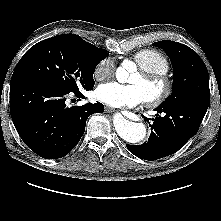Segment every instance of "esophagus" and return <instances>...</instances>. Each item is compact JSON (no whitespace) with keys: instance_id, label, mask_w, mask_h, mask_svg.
<instances>
[{"instance_id":"obj_1","label":"esophagus","mask_w":221,"mask_h":221,"mask_svg":"<svg viewBox=\"0 0 221 221\" xmlns=\"http://www.w3.org/2000/svg\"><path fill=\"white\" fill-rule=\"evenodd\" d=\"M113 108L112 107H110V106H106V112L107 113H110V112H113Z\"/></svg>"}]
</instances>
